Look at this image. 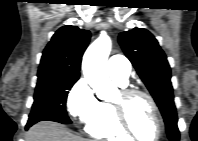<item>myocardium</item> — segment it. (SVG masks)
Segmentation results:
<instances>
[{"label": "myocardium", "mask_w": 198, "mask_h": 141, "mask_svg": "<svg viewBox=\"0 0 198 141\" xmlns=\"http://www.w3.org/2000/svg\"><path fill=\"white\" fill-rule=\"evenodd\" d=\"M120 95H121L120 102H112L111 103L116 121H117L118 125L120 126V128L130 138H134L136 140H142V139L138 138L136 133L131 128V125H130L128 117H127L126 105H127V101L133 97H137V96L143 97L149 102V104L152 108V111L154 113V116L156 119V125H157V134H156V137L153 139V141H158L163 134L164 124H163V119H162L159 107H158L155 99L147 92L139 90V89H134V88H123L120 91Z\"/></svg>", "instance_id": "myocardium-1"}]
</instances>
